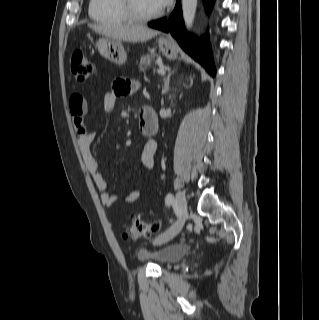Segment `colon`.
I'll return each instance as SVG.
<instances>
[{"label": "colon", "instance_id": "obj_1", "mask_svg": "<svg viewBox=\"0 0 319 320\" xmlns=\"http://www.w3.org/2000/svg\"><path fill=\"white\" fill-rule=\"evenodd\" d=\"M70 69L78 81H85L93 71L90 57L81 50H74L70 57ZM159 230L158 221H143L138 218L131 219L126 226L123 236L126 239L138 237H151Z\"/></svg>", "mask_w": 319, "mask_h": 320}]
</instances>
